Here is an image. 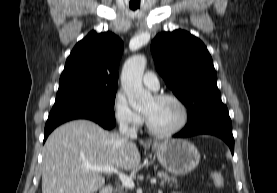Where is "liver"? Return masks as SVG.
I'll return each mask as SVG.
<instances>
[{
  "instance_id": "liver-1",
  "label": "liver",
  "mask_w": 277,
  "mask_h": 193,
  "mask_svg": "<svg viewBox=\"0 0 277 193\" xmlns=\"http://www.w3.org/2000/svg\"><path fill=\"white\" fill-rule=\"evenodd\" d=\"M140 160L131 139L88 120L68 122L55 129L45 143L42 193H95L105 179L87 165L132 170Z\"/></svg>"
}]
</instances>
